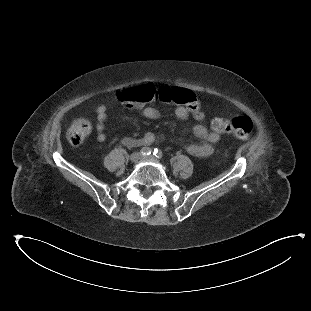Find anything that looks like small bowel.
<instances>
[{
	"label": "small bowel",
	"instance_id": "obj_1",
	"mask_svg": "<svg viewBox=\"0 0 311 311\" xmlns=\"http://www.w3.org/2000/svg\"><path fill=\"white\" fill-rule=\"evenodd\" d=\"M163 88H170L168 86H164ZM142 114L145 118L149 120L158 119L161 115L160 111L152 106H146L142 109ZM175 115L177 118L184 120L188 117V110L183 107L179 106L175 109ZM107 120V113L104 108H100L97 111V122H96V129H97V139L100 142H104L106 139L104 129H105V122ZM193 134L198 138V142L188 143L185 145L186 151L195 156V157H206L209 156L214 149V144L220 140V134L216 132H210L208 129L198 123L195 124L192 128ZM139 139L146 142L145 145H150L158 140V136L154 133H147L144 136L140 137ZM132 139L126 138L124 139V143L128 145H134L131 141Z\"/></svg>",
	"mask_w": 311,
	"mask_h": 311
}]
</instances>
